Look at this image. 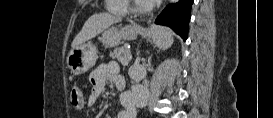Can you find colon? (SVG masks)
<instances>
[{
	"instance_id": "1",
	"label": "colon",
	"mask_w": 273,
	"mask_h": 118,
	"mask_svg": "<svg viewBox=\"0 0 273 118\" xmlns=\"http://www.w3.org/2000/svg\"><path fill=\"white\" fill-rule=\"evenodd\" d=\"M70 101L74 109H81L84 106V94L79 86H74L70 92Z\"/></svg>"
}]
</instances>
